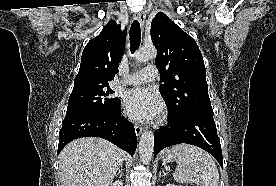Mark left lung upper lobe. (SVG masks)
<instances>
[{"mask_svg": "<svg viewBox=\"0 0 276 186\" xmlns=\"http://www.w3.org/2000/svg\"><path fill=\"white\" fill-rule=\"evenodd\" d=\"M151 39L161 76L160 93L170 114L184 116L211 111L206 70L195 40L169 17L159 12L151 22Z\"/></svg>", "mask_w": 276, "mask_h": 186, "instance_id": "left-lung-upper-lobe-1", "label": "left lung upper lobe"}]
</instances>
